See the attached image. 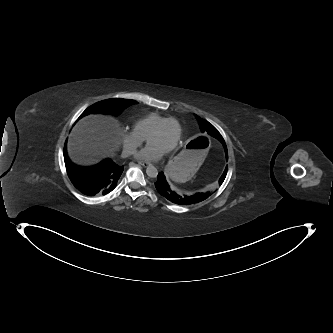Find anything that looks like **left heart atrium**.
Returning a JSON list of instances; mask_svg holds the SVG:
<instances>
[{"mask_svg":"<svg viewBox=\"0 0 333 333\" xmlns=\"http://www.w3.org/2000/svg\"><path fill=\"white\" fill-rule=\"evenodd\" d=\"M166 151V149H162L153 143H149L147 147L137 155V157L139 159L155 161L161 158Z\"/></svg>","mask_w":333,"mask_h":333,"instance_id":"left-heart-atrium-1","label":"left heart atrium"}]
</instances>
